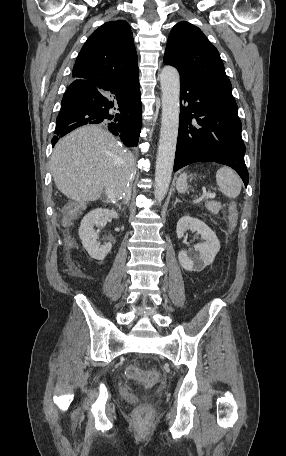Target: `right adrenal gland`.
<instances>
[{
  "instance_id": "obj_1",
  "label": "right adrenal gland",
  "mask_w": 286,
  "mask_h": 456,
  "mask_svg": "<svg viewBox=\"0 0 286 456\" xmlns=\"http://www.w3.org/2000/svg\"><path fill=\"white\" fill-rule=\"evenodd\" d=\"M117 206H118L119 210H122V211H125V210H126V207H123V208H122V207H121V204H118Z\"/></svg>"
}]
</instances>
